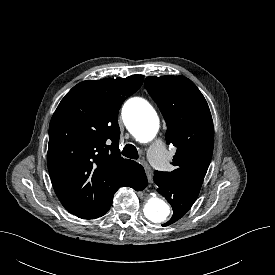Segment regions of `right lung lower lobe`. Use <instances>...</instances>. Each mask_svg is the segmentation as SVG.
I'll return each mask as SVG.
<instances>
[{
  "label": "right lung lower lobe",
  "mask_w": 275,
  "mask_h": 275,
  "mask_svg": "<svg viewBox=\"0 0 275 275\" xmlns=\"http://www.w3.org/2000/svg\"><path fill=\"white\" fill-rule=\"evenodd\" d=\"M146 185V175L143 167L139 164L131 171L123 183V186L133 187L136 190H143ZM111 204L100 214V216L104 215L109 210Z\"/></svg>",
  "instance_id": "obj_1"
}]
</instances>
